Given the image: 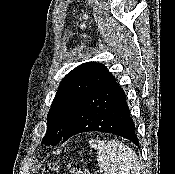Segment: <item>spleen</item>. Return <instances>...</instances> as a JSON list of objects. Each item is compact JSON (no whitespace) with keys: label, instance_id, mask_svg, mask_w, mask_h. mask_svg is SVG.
<instances>
[{"label":"spleen","instance_id":"spleen-1","mask_svg":"<svg viewBox=\"0 0 175 174\" xmlns=\"http://www.w3.org/2000/svg\"><path fill=\"white\" fill-rule=\"evenodd\" d=\"M97 150L98 166L104 174H140L136 153L117 140H90Z\"/></svg>","mask_w":175,"mask_h":174}]
</instances>
